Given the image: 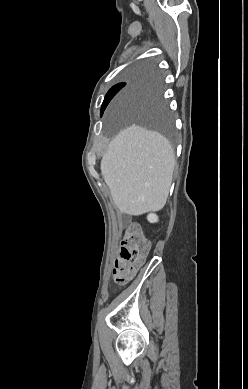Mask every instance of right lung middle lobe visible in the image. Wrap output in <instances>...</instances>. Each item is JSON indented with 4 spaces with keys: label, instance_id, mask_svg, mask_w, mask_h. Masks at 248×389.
I'll list each match as a JSON object with an SVG mask.
<instances>
[{
    "label": "right lung middle lobe",
    "instance_id": "1",
    "mask_svg": "<svg viewBox=\"0 0 248 389\" xmlns=\"http://www.w3.org/2000/svg\"><path fill=\"white\" fill-rule=\"evenodd\" d=\"M128 83L136 86L143 83L145 91V94L140 100H134L125 107V112L129 118L134 122L157 130L166 139L174 142L175 135L172 130L171 117L167 105L161 98L158 81L149 76V70L142 68L132 73ZM125 85L126 83L117 84L108 91L101 107V115L112 98Z\"/></svg>",
    "mask_w": 248,
    "mask_h": 389
}]
</instances>
